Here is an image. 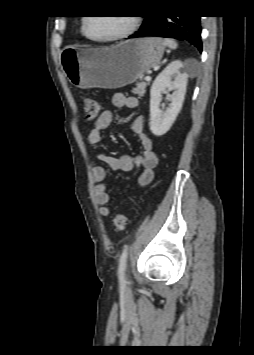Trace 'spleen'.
<instances>
[{"label":"spleen","mask_w":254,"mask_h":355,"mask_svg":"<svg viewBox=\"0 0 254 355\" xmlns=\"http://www.w3.org/2000/svg\"><path fill=\"white\" fill-rule=\"evenodd\" d=\"M164 43L170 48V49H176L177 48V42L173 39H164Z\"/></svg>","instance_id":"spleen-1"}]
</instances>
